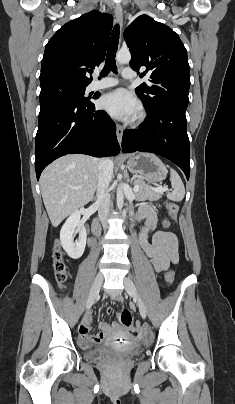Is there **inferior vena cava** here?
Here are the masks:
<instances>
[{"label":"inferior vena cava","mask_w":235,"mask_h":404,"mask_svg":"<svg viewBox=\"0 0 235 404\" xmlns=\"http://www.w3.org/2000/svg\"><path fill=\"white\" fill-rule=\"evenodd\" d=\"M113 176V162L107 158L99 160V175L97 185L98 215L102 225L106 227V220L109 215L110 194L109 184Z\"/></svg>","instance_id":"602c4592"}]
</instances>
